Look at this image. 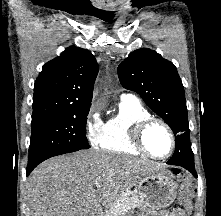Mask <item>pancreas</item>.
<instances>
[{
    "instance_id": "1",
    "label": "pancreas",
    "mask_w": 221,
    "mask_h": 216,
    "mask_svg": "<svg viewBox=\"0 0 221 216\" xmlns=\"http://www.w3.org/2000/svg\"><path fill=\"white\" fill-rule=\"evenodd\" d=\"M140 205L138 197L132 192L121 193L106 210L104 216H123L131 208Z\"/></svg>"
}]
</instances>
